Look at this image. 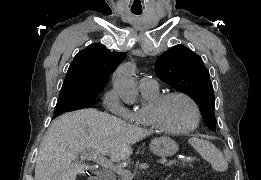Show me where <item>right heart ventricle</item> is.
I'll return each mask as SVG.
<instances>
[{
  "mask_svg": "<svg viewBox=\"0 0 261 180\" xmlns=\"http://www.w3.org/2000/svg\"><path fill=\"white\" fill-rule=\"evenodd\" d=\"M141 94H142V97H143V101H144V108L149 106L152 101L159 95V92L156 89H153V90H141ZM136 127H139L137 124H136Z\"/></svg>",
  "mask_w": 261,
  "mask_h": 180,
  "instance_id": "e07e8e85",
  "label": "right heart ventricle"
}]
</instances>
